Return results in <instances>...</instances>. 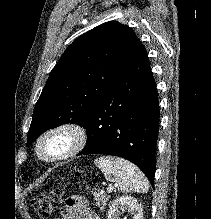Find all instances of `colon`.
Listing matches in <instances>:
<instances>
[{
    "label": "colon",
    "mask_w": 211,
    "mask_h": 219,
    "mask_svg": "<svg viewBox=\"0 0 211 219\" xmlns=\"http://www.w3.org/2000/svg\"><path fill=\"white\" fill-rule=\"evenodd\" d=\"M64 188L56 185L49 193L38 194L31 201L32 207L42 219L51 217L60 207Z\"/></svg>",
    "instance_id": "obj_1"
}]
</instances>
